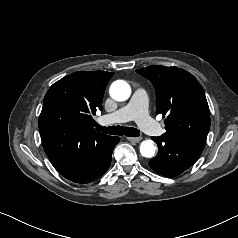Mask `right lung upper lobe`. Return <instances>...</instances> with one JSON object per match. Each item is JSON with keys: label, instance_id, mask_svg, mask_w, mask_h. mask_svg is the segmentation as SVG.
Segmentation results:
<instances>
[{"label": "right lung upper lobe", "instance_id": "obj_1", "mask_svg": "<svg viewBox=\"0 0 238 238\" xmlns=\"http://www.w3.org/2000/svg\"><path fill=\"white\" fill-rule=\"evenodd\" d=\"M113 72H74L54 83L44 97L39 117L43 148L57 171L82 163L109 137L93 128L92 114L102 109Z\"/></svg>", "mask_w": 238, "mask_h": 238}]
</instances>
